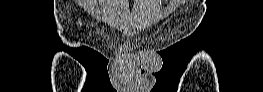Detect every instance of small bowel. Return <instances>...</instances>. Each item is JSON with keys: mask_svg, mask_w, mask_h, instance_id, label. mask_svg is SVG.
Segmentation results:
<instances>
[{"mask_svg": "<svg viewBox=\"0 0 263 92\" xmlns=\"http://www.w3.org/2000/svg\"><path fill=\"white\" fill-rule=\"evenodd\" d=\"M116 2L122 4V7H126V3L124 1H116Z\"/></svg>", "mask_w": 263, "mask_h": 92, "instance_id": "small-bowel-1", "label": "small bowel"}]
</instances>
